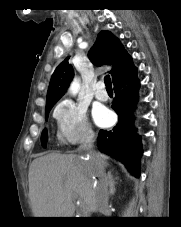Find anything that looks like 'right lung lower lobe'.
<instances>
[{
	"label": "right lung lower lobe",
	"instance_id": "right-lung-lower-lobe-1",
	"mask_svg": "<svg viewBox=\"0 0 181 227\" xmlns=\"http://www.w3.org/2000/svg\"><path fill=\"white\" fill-rule=\"evenodd\" d=\"M112 82L116 92L112 108L118 114V123L110 131L99 132L98 148L101 152L117 158L133 175L139 177L142 147L140 140H135L133 118L140 82L137 77V68L129 55Z\"/></svg>",
	"mask_w": 181,
	"mask_h": 227
}]
</instances>
